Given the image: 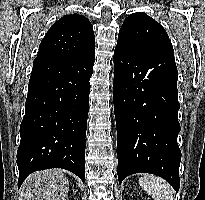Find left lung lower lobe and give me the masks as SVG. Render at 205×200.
I'll return each mask as SVG.
<instances>
[{
  "mask_svg": "<svg viewBox=\"0 0 205 200\" xmlns=\"http://www.w3.org/2000/svg\"><path fill=\"white\" fill-rule=\"evenodd\" d=\"M113 61L119 183L134 173H152L178 191L180 106L174 50L134 53L116 46Z\"/></svg>",
  "mask_w": 205,
  "mask_h": 200,
  "instance_id": "left-lung-lower-lobe-1",
  "label": "left lung lower lobe"
}]
</instances>
